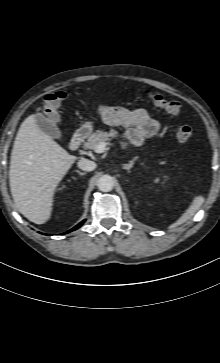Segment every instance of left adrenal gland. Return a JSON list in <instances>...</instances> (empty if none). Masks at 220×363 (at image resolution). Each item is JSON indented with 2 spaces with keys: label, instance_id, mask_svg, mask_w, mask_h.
<instances>
[{
  "label": "left adrenal gland",
  "instance_id": "1",
  "mask_svg": "<svg viewBox=\"0 0 220 363\" xmlns=\"http://www.w3.org/2000/svg\"><path fill=\"white\" fill-rule=\"evenodd\" d=\"M137 160V157H134L131 161H129L128 164L123 165V169H126L128 172H130V169L133 167V164Z\"/></svg>",
  "mask_w": 220,
  "mask_h": 363
}]
</instances>
